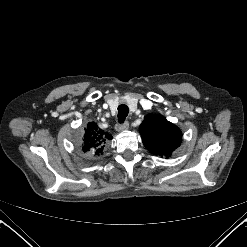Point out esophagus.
I'll return each instance as SVG.
<instances>
[{
  "mask_svg": "<svg viewBox=\"0 0 247 247\" xmlns=\"http://www.w3.org/2000/svg\"><path fill=\"white\" fill-rule=\"evenodd\" d=\"M129 128V123L128 122H124L122 124H117L115 129L116 131L118 132H122V131H125Z\"/></svg>",
  "mask_w": 247,
  "mask_h": 247,
  "instance_id": "esophagus-1",
  "label": "esophagus"
}]
</instances>
